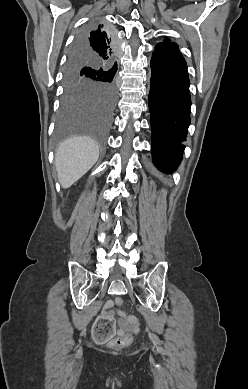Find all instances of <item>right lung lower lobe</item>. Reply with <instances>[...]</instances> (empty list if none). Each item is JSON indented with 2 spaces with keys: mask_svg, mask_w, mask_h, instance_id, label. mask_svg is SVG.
Here are the masks:
<instances>
[{
  "mask_svg": "<svg viewBox=\"0 0 248 389\" xmlns=\"http://www.w3.org/2000/svg\"><path fill=\"white\" fill-rule=\"evenodd\" d=\"M107 33L109 34V41L112 43L113 48H115L116 45H117V41H116L115 35H114L112 32L108 31V30H107ZM82 39H83V37H82V38H79L78 41H80V40H82ZM81 46H82L81 43H77V42H76V43L74 44V47H75V48H78V49H81V50L85 51ZM85 52L88 53L87 51H85Z\"/></svg>",
  "mask_w": 248,
  "mask_h": 389,
  "instance_id": "obj_1",
  "label": "right lung lower lobe"
}]
</instances>
